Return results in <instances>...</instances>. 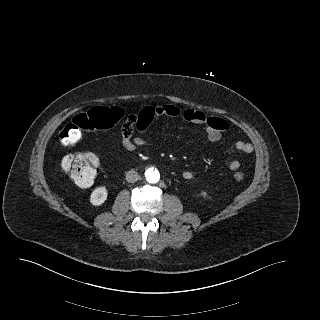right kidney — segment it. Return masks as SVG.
<instances>
[{
    "mask_svg": "<svg viewBox=\"0 0 320 320\" xmlns=\"http://www.w3.org/2000/svg\"><path fill=\"white\" fill-rule=\"evenodd\" d=\"M108 196V191L105 187L100 186L95 188L90 195V203L94 206L103 204Z\"/></svg>",
    "mask_w": 320,
    "mask_h": 320,
    "instance_id": "ca27d5eb",
    "label": "right kidney"
}]
</instances>
